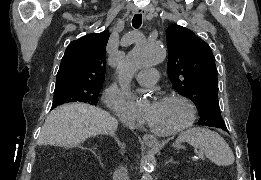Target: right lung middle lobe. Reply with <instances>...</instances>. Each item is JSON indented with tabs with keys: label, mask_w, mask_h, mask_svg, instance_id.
<instances>
[{
	"label": "right lung middle lobe",
	"mask_w": 261,
	"mask_h": 180,
	"mask_svg": "<svg viewBox=\"0 0 261 180\" xmlns=\"http://www.w3.org/2000/svg\"><path fill=\"white\" fill-rule=\"evenodd\" d=\"M103 84L69 83L55 87L52 109L69 102H89L96 105Z\"/></svg>",
	"instance_id": "dd1d6c3e"
}]
</instances>
